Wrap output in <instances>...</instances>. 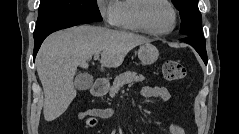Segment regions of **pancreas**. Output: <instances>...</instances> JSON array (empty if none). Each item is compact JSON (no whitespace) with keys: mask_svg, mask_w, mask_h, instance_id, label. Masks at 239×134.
I'll return each instance as SVG.
<instances>
[{"mask_svg":"<svg viewBox=\"0 0 239 134\" xmlns=\"http://www.w3.org/2000/svg\"><path fill=\"white\" fill-rule=\"evenodd\" d=\"M145 77L143 75H137L136 72H124L117 76L110 88V96L113 97L119 92V90L126 84H132L135 82H143Z\"/></svg>","mask_w":239,"mask_h":134,"instance_id":"cf45deb5","label":"pancreas"}]
</instances>
